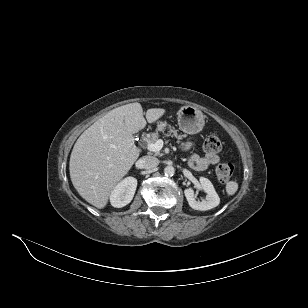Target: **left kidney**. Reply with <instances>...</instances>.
<instances>
[{"label":"left kidney","mask_w":308,"mask_h":308,"mask_svg":"<svg viewBox=\"0 0 308 308\" xmlns=\"http://www.w3.org/2000/svg\"><path fill=\"white\" fill-rule=\"evenodd\" d=\"M200 184L206 193V197L205 199H202V201H197L195 199L194 190L192 188H187L184 190L189 206L194 210L200 211H206L217 207L220 203V198L211 181L207 178L201 177Z\"/></svg>","instance_id":"left-kidney-1"}]
</instances>
